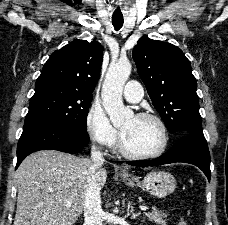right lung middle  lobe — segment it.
Returning a JSON list of instances; mask_svg holds the SVG:
<instances>
[{"instance_id":"obj_1","label":"right lung middle lobe","mask_w":228,"mask_h":225,"mask_svg":"<svg viewBox=\"0 0 228 225\" xmlns=\"http://www.w3.org/2000/svg\"><path fill=\"white\" fill-rule=\"evenodd\" d=\"M92 94L59 84L35 86L25 123L59 121L87 131L86 118Z\"/></svg>"}]
</instances>
